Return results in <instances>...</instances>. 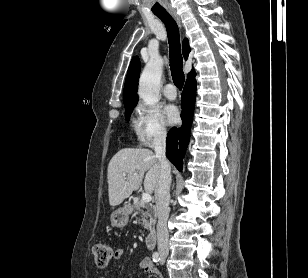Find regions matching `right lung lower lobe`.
I'll list each match as a JSON object with an SVG mask.
<instances>
[{"label": "right lung lower lobe", "mask_w": 308, "mask_h": 278, "mask_svg": "<svg viewBox=\"0 0 308 278\" xmlns=\"http://www.w3.org/2000/svg\"><path fill=\"white\" fill-rule=\"evenodd\" d=\"M196 96L195 76L187 79L182 93L183 124L180 128H172L167 136L166 156L179 171L183 167V155L187 149L192 124Z\"/></svg>", "instance_id": "right-lung-lower-lobe-1"}]
</instances>
